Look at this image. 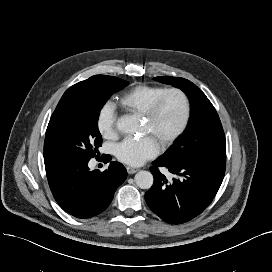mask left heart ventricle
<instances>
[{"instance_id": "1", "label": "left heart ventricle", "mask_w": 272, "mask_h": 272, "mask_svg": "<svg viewBox=\"0 0 272 272\" xmlns=\"http://www.w3.org/2000/svg\"><path fill=\"white\" fill-rule=\"evenodd\" d=\"M182 115L183 105L181 99L177 95H170L165 99L156 118L153 121L146 120L144 131L161 144L177 128Z\"/></svg>"}]
</instances>
